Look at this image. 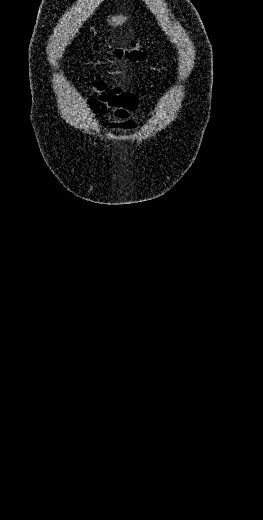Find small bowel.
<instances>
[{
	"label": "small bowel",
	"mask_w": 263,
	"mask_h": 520,
	"mask_svg": "<svg viewBox=\"0 0 263 520\" xmlns=\"http://www.w3.org/2000/svg\"><path fill=\"white\" fill-rule=\"evenodd\" d=\"M96 98L89 100L90 108L95 113L110 111L114 117L110 123L112 130L131 131L137 127L132 114L137 110L139 101L135 95L123 91L120 87H109L104 80L94 84Z\"/></svg>",
	"instance_id": "c3829d8e"
}]
</instances>
